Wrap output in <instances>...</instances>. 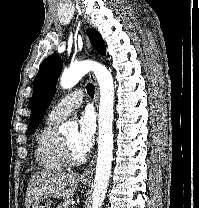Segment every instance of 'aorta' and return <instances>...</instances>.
<instances>
[{
  "instance_id": "aorta-1",
  "label": "aorta",
  "mask_w": 199,
  "mask_h": 208,
  "mask_svg": "<svg viewBox=\"0 0 199 208\" xmlns=\"http://www.w3.org/2000/svg\"><path fill=\"white\" fill-rule=\"evenodd\" d=\"M90 71L94 73L100 87L98 158L93 184L92 208H101L107 192L113 159V78L110 71L102 64L82 61L71 65L62 73L60 85L63 89H70ZM71 130H76V126L71 122H66L59 128L62 134H67Z\"/></svg>"
}]
</instances>
